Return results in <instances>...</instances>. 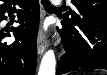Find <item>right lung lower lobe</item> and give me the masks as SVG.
Here are the masks:
<instances>
[{
    "instance_id": "98d812e1",
    "label": "right lung lower lobe",
    "mask_w": 107,
    "mask_h": 75,
    "mask_svg": "<svg viewBox=\"0 0 107 75\" xmlns=\"http://www.w3.org/2000/svg\"><path fill=\"white\" fill-rule=\"evenodd\" d=\"M19 5L18 27L0 29V75H34L36 69L37 32L40 17L38 0H4L0 5V22L7 19ZM6 31V32H5ZM12 32L15 41L4 42Z\"/></svg>"
}]
</instances>
